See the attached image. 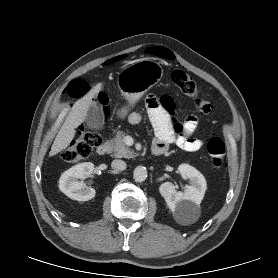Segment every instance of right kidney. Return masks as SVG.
Masks as SVG:
<instances>
[{"label":"right kidney","instance_id":"obj_1","mask_svg":"<svg viewBox=\"0 0 278 278\" xmlns=\"http://www.w3.org/2000/svg\"><path fill=\"white\" fill-rule=\"evenodd\" d=\"M94 170V164L85 162L65 171L59 179V189L69 198L77 201H88L94 198L95 189L85 186L78 179H85Z\"/></svg>","mask_w":278,"mask_h":278}]
</instances>
